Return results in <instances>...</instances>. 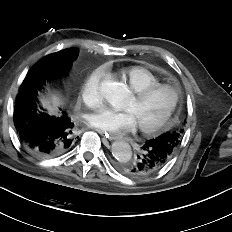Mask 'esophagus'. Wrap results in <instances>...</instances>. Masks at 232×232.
<instances>
[{"label":"esophagus","mask_w":232,"mask_h":232,"mask_svg":"<svg viewBox=\"0 0 232 232\" xmlns=\"http://www.w3.org/2000/svg\"><path fill=\"white\" fill-rule=\"evenodd\" d=\"M96 132H98L100 135H102L104 138L108 140H114L116 137L108 132L102 131L100 129H94Z\"/></svg>","instance_id":"34e87169"}]
</instances>
